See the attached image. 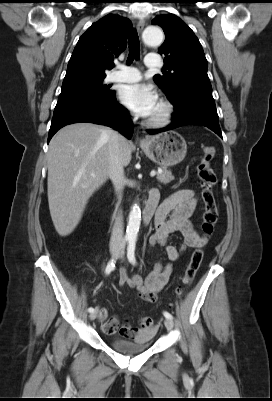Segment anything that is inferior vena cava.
Instances as JSON below:
<instances>
[{
  "label": "inferior vena cava",
  "mask_w": 272,
  "mask_h": 401,
  "mask_svg": "<svg viewBox=\"0 0 272 401\" xmlns=\"http://www.w3.org/2000/svg\"><path fill=\"white\" fill-rule=\"evenodd\" d=\"M120 140L121 135L115 131H111L110 141H109V177L113 183L115 192L118 197V203H120L122 198V192L126 184V178L124 175V168L121 159L120 151ZM124 243V225L122 212L118 213L116 220L114 222L110 244L121 246Z\"/></svg>",
  "instance_id": "obj_1"
}]
</instances>
